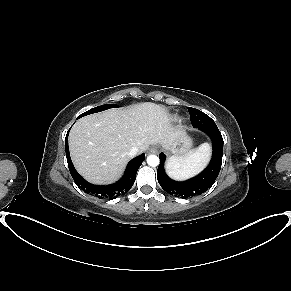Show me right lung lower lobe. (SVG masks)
<instances>
[{
  "mask_svg": "<svg viewBox=\"0 0 291 291\" xmlns=\"http://www.w3.org/2000/svg\"><path fill=\"white\" fill-rule=\"evenodd\" d=\"M68 133L69 131L67 132L65 139L66 158L72 178L80 189H82L87 194L94 195L100 199H114L118 196L126 194L131 189L136 179L137 170L145 159V154H142L132 159L128 163L124 175L116 183L104 186L94 185L87 182L75 170L69 155Z\"/></svg>",
  "mask_w": 291,
  "mask_h": 291,
  "instance_id": "obj_1",
  "label": "right lung lower lobe"
}]
</instances>
